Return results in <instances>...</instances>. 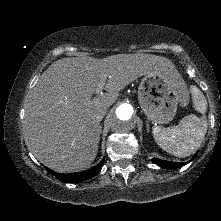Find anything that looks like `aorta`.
Returning a JSON list of instances; mask_svg holds the SVG:
<instances>
[{
    "label": "aorta",
    "instance_id": "762f6f07",
    "mask_svg": "<svg viewBox=\"0 0 221 221\" xmlns=\"http://www.w3.org/2000/svg\"><path fill=\"white\" fill-rule=\"evenodd\" d=\"M111 129L118 134L130 132L135 127V113L132 105L122 103L117 106L110 118Z\"/></svg>",
    "mask_w": 221,
    "mask_h": 221
}]
</instances>
